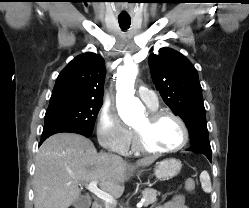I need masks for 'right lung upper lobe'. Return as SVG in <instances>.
Listing matches in <instances>:
<instances>
[{"label": "right lung upper lobe", "instance_id": "obj_1", "mask_svg": "<svg viewBox=\"0 0 249 208\" xmlns=\"http://www.w3.org/2000/svg\"><path fill=\"white\" fill-rule=\"evenodd\" d=\"M105 63L100 55L75 57L59 74L49 107L67 102L102 101Z\"/></svg>", "mask_w": 249, "mask_h": 208}]
</instances>
